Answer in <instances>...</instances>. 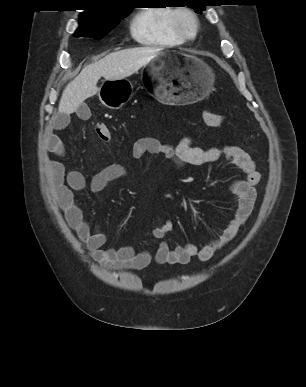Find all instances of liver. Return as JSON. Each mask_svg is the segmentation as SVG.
<instances>
[{
	"instance_id": "6515ba94",
	"label": "liver",
	"mask_w": 306,
	"mask_h": 387,
	"mask_svg": "<svg viewBox=\"0 0 306 387\" xmlns=\"http://www.w3.org/2000/svg\"><path fill=\"white\" fill-rule=\"evenodd\" d=\"M161 49L138 47L124 49L106 55L99 61L85 66L80 74L64 89L58 111L71 114L83 102L99 93L97 82L101 77L108 81H118L129 77L149 62Z\"/></svg>"
}]
</instances>
